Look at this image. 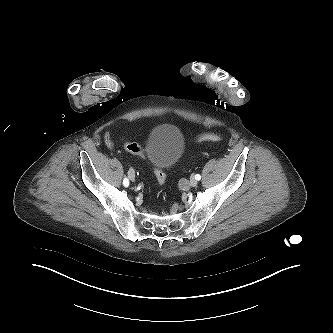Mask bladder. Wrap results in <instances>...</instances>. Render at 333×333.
I'll list each match as a JSON object with an SVG mask.
<instances>
[{
    "label": "bladder",
    "mask_w": 333,
    "mask_h": 333,
    "mask_svg": "<svg viewBox=\"0 0 333 333\" xmlns=\"http://www.w3.org/2000/svg\"><path fill=\"white\" fill-rule=\"evenodd\" d=\"M184 149V136L180 129L172 124L154 127L144 146L149 164L162 170L172 168L182 157Z\"/></svg>",
    "instance_id": "bladder-1"
}]
</instances>
